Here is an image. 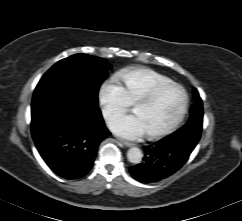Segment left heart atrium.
I'll return each instance as SVG.
<instances>
[{"label":"left heart atrium","instance_id":"obj_1","mask_svg":"<svg viewBox=\"0 0 242 221\" xmlns=\"http://www.w3.org/2000/svg\"><path fill=\"white\" fill-rule=\"evenodd\" d=\"M109 128L116 135L130 140H136L147 134L146 128L138 115H120L110 120Z\"/></svg>","mask_w":242,"mask_h":221}]
</instances>
